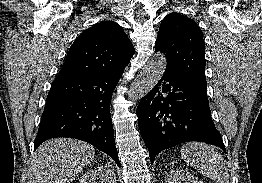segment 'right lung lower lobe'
I'll return each mask as SVG.
<instances>
[{"label":"right lung lower lobe","instance_id":"right-lung-lower-lobe-1","mask_svg":"<svg viewBox=\"0 0 262 183\" xmlns=\"http://www.w3.org/2000/svg\"><path fill=\"white\" fill-rule=\"evenodd\" d=\"M122 73L57 77L47 96L34 150L51 138H77L108 154L120 167L110 103Z\"/></svg>","mask_w":262,"mask_h":183}]
</instances>
